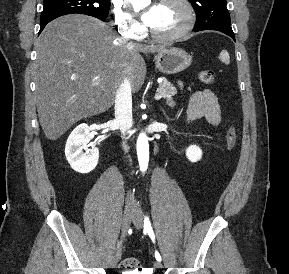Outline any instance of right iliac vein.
<instances>
[{
    "mask_svg": "<svg viewBox=\"0 0 289 274\" xmlns=\"http://www.w3.org/2000/svg\"><path fill=\"white\" fill-rule=\"evenodd\" d=\"M133 216V211L131 210L130 207H127L124 210L123 216H122V221H121V232H122V238H124L127 234V231L130 226V222ZM121 259V247L117 249L115 254L113 255L111 261H110V266L112 268L116 267L118 262Z\"/></svg>",
    "mask_w": 289,
    "mask_h": 274,
    "instance_id": "1",
    "label": "right iliac vein"
}]
</instances>
